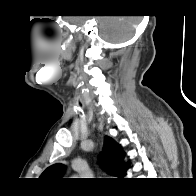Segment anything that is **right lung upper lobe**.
<instances>
[{
	"label": "right lung upper lobe",
	"mask_w": 196,
	"mask_h": 196,
	"mask_svg": "<svg viewBox=\"0 0 196 196\" xmlns=\"http://www.w3.org/2000/svg\"><path fill=\"white\" fill-rule=\"evenodd\" d=\"M124 152L119 144L112 138L104 137V148L100 156L101 165L112 176L122 177L123 171L129 168L124 162ZM65 165L57 163L49 166L40 176L48 181H56L65 172Z\"/></svg>",
	"instance_id": "right-lung-upper-lobe-1"
}]
</instances>
